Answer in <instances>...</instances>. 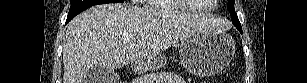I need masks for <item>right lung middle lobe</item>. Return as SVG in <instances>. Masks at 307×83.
<instances>
[{
  "instance_id": "1",
  "label": "right lung middle lobe",
  "mask_w": 307,
  "mask_h": 83,
  "mask_svg": "<svg viewBox=\"0 0 307 83\" xmlns=\"http://www.w3.org/2000/svg\"><path fill=\"white\" fill-rule=\"evenodd\" d=\"M124 0H71V7L69 14L67 16V21L69 22L77 14L90 8L94 5L105 4V3H121Z\"/></svg>"
}]
</instances>
